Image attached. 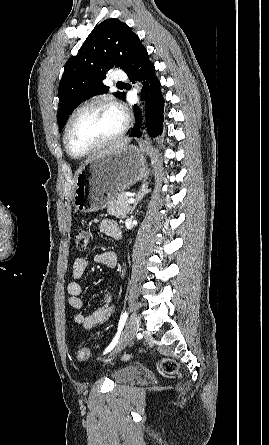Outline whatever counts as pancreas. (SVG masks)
<instances>
[{
  "instance_id": "cf45deb5",
  "label": "pancreas",
  "mask_w": 269,
  "mask_h": 445,
  "mask_svg": "<svg viewBox=\"0 0 269 445\" xmlns=\"http://www.w3.org/2000/svg\"><path fill=\"white\" fill-rule=\"evenodd\" d=\"M108 213L117 218L124 219L131 212V206L128 203V197L124 194H120L113 199L108 206Z\"/></svg>"
}]
</instances>
